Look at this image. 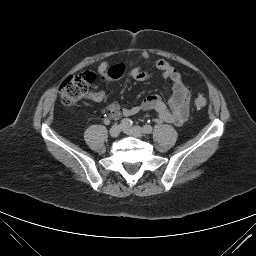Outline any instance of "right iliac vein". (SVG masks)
<instances>
[{"mask_svg":"<svg viewBox=\"0 0 256 256\" xmlns=\"http://www.w3.org/2000/svg\"><path fill=\"white\" fill-rule=\"evenodd\" d=\"M121 130H122V127L120 125H114L111 127L109 134L111 137L115 138L119 136Z\"/></svg>","mask_w":256,"mask_h":256,"instance_id":"63e3f726","label":"right iliac vein"}]
</instances>
